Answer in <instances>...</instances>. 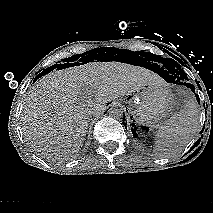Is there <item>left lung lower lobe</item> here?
<instances>
[{"mask_svg":"<svg viewBox=\"0 0 213 213\" xmlns=\"http://www.w3.org/2000/svg\"><path fill=\"white\" fill-rule=\"evenodd\" d=\"M166 81L170 82V83H175V84H184L186 87L190 88L194 93H195V87L192 85V84H189L187 82H183V81H180V80H176L174 78L173 75L169 74L168 71L166 70H161V72H158ZM196 98H197V101L200 103V100H199V97L197 96V94H195ZM125 117V115H124ZM125 120V118H123ZM136 129V128H134ZM134 131V130H133ZM136 133V131H135ZM137 135V134H136Z\"/></svg>","mask_w":213,"mask_h":213,"instance_id":"obj_1","label":"left lung lower lobe"}]
</instances>
